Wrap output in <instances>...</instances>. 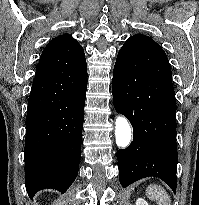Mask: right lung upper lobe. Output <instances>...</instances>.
Wrapping results in <instances>:
<instances>
[{
  "label": "right lung upper lobe",
  "mask_w": 199,
  "mask_h": 205,
  "mask_svg": "<svg viewBox=\"0 0 199 205\" xmlns=\"http://www.w3.org/2000/svg\"><path fill=\"white\" fill-rule=\"evenodd\" d=\"M87 72L84 49L69 34L52 39L40 57L34 81H46L50 90H60L65 78Z\"/></svg>",
  "instance_id": "right-lung-upper-lobe-1"
}]
</instances>
